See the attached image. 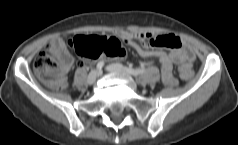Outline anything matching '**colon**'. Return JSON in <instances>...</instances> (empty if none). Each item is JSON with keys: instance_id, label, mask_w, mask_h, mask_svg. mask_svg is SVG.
<instances>
[{"instance_id": "1", "label": "colon", "mask_w": 238, "mask_h": 145, "mask_svg": "<svg viewBox=\"0 0 238 145\" xmlns=\"http://www.w3.org/2000/svg\"><path fill=\"white\" fill-rule=\"evenodd\" d=\"M69 44L77 55L86 61H93L100 57L122 58L125 55L124 47L115 37L78 35ZM53 49L54 43H50L45 50L41 51L34 58L33 68L46 83L63 88L65 78ZM179 74L183 79H189L193 75V70L189 65H183L179 67Z\"/></svg>"}]
</instances>
